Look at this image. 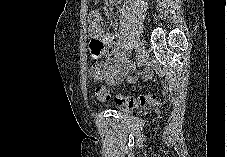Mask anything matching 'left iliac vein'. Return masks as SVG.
Masks as SVG:
<instances>
[{
	"instance_id": "obj_1",
	"label": "left iliac vein",
	"mask_w": 227,
	"mask_h": 157,
	"mask_svg": "<svg viewBox=\"0 0 227 157\" xmlns=\"http://www.w3.org/2000/svg\"><path fill=\"white\" fill-rule=\"evenodd\" d=\"M139 60L141 63H144L149 57V50L145 47L144 43L141 42L139 50Z\"/></svg>"
}]
</instances>
